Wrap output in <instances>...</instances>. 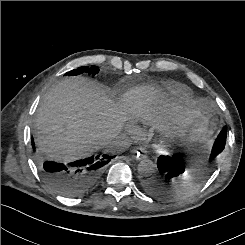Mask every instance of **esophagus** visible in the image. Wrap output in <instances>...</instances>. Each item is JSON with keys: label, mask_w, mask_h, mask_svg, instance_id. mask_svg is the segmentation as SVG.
<instances>
[{"label": "esophagus", "mask_w": 245, "mask_h": 245, "mask_svg": "<svg viewBox=\"0 0 245 245\" xmlns=\"http://www.w3.org/2000/svg\"><path fill=\"white\" fill-rule=\"evenodd\" d=\"M131 153L134 154L133 157L136 159L147 158V150L144 147H139L137 149L131 150Z\"/></svg>", "instance_id": "obj_1"}]
</instances>
